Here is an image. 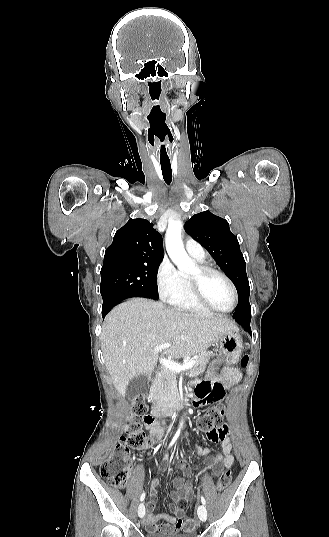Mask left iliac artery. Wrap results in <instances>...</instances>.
Returning a JSON list of instances; mask_svg holds the SVG:
<instances>
[{
    "instance_id": "1",
    "label": "left iliac artery",
    "mask_w": 329,
    "mask_h": 537,
    "mask_svg": "<svg viewBox=\"0 0 329 537\" xmlns=\"http://www.w3.org/2000/svg\"><path fill=\"white\" fill-rule=\"evenodd\" d=\"M201 502H202L203 505H206V500H205V498L203 496H201Z\"/></svg>"
}]
</instances>
